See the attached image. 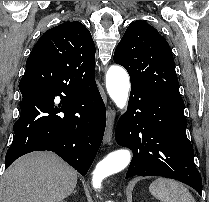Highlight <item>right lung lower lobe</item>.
<instances>
[{"label": "right lung lower lobe", "mask_w": 209, "mask_h": 202, "mask_svg": "<svg viewBox=\"0 0 209 202\" xmlns=\"http://www.w3.org/2000/svg\"><path fill=\"white\" fill-rule=\"evenodd\" d=\"M19 90L21 112L13 126L15 136L5 167L26 153L49 150L85 176L106 126V109L96 82L77 90L40 68L25 71Z\"/></svg>", "instance_id": "obj_1"}]
</instances>
